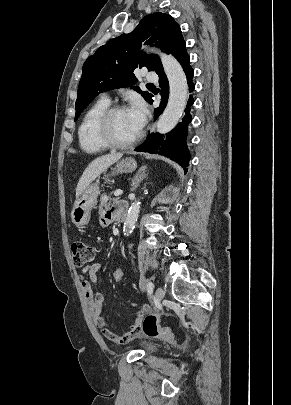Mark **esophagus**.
Segmentation results:
<instances>
[{"label":"esophagus","mask_w":291,"mask_h":405,"mask_svg":"<svg viewBox=\"0 0 291 405\" xmlns=\"http://www.w3.org/2000/svg\"><path fill=\"white\" fill-rule=\"evenodd\" d=\"M153 127H154V125H152V127H151V131L153 130Z\"/></svg>","instance_id":"34e87169"}]
</instances>
